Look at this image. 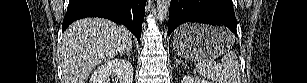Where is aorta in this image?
<instances>
[{
    "mask_svg": "<svg viewBox=\"0 0 307 83\" xmlns=\"http://www.w3.org/2000/svg\"><path fill=\"white\" fill-rule=\"evenodd\" d=\"M170 0H157V19L160 24L167 18Z\"/></svg>",
    "mask_w": 307,
    "mask_h": 83,
    "instance_id": "762f6f07",
    "label": "aorta"
}]
</instances>
